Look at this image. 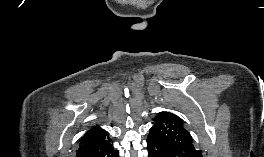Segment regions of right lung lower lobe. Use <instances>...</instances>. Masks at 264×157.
Returning a JSON list of instances; mask_svg holds the SVG:
<instances>
[{
  "label": "right lung lower lobe",
  "mask_w": 264,
  "mask_h": 157,
  "mask_svg": "<svg viewBox=\"0 0 264 157\" xmlns=\"http://www.w3.org/2000/svg\"><path fill=\"white\" fill-rule=\"evenodd\" d=\"M76 157H119V151L114 149L110 139L91 148L77 152Z\"/></svg>",
  "instance_id": "obj_1"
}]
</instances>
